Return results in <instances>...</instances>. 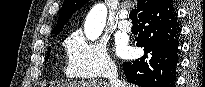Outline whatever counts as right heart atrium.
<instances>
[{"instance_id": "obj_1", "label": "right heart atrium", "mask_w": 205, "mask_h": 87, "mask_svg": "<svg viewBox=\"0 0 205 87\" xmlns=\"http://www.w3.org/2000/svg\"><path fill=\"white\" fill-rule=\"evenodd\" d=\"M115 63L101 40H89L82 33L66 41V74L74 78H100L114 73Z\"/></svg>"}]
</instances>
